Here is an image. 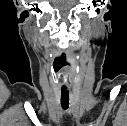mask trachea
Here are the masks:
<instances>
[{
    "mask_svg": "<svg viewBox=\"0 0 127 126\" xmlns=\"http://www.w3.org/2000/svg\"><path fill=\"white\" fill-rule=\"evenodd\" d=\"M61 106L64 110H67L69 107V91L61 89Z\"/></svg>",
    "mask_w": 127,
    "mask_h": 126,
    "instance_id": "obj_1",
    "label": "trachea"
}]
</instances>
